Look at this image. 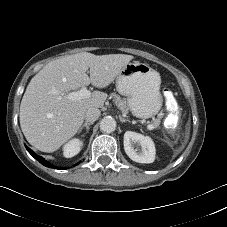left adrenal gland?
Here are the masks:
<instances>
[{"mask_svg": "<svg viewBox=\"0 0 227 227\" xmlns=\"http://www.w3.org/2000/svg\"><path fill=\"white\" fill-rule=\"evenodd\" d=\"M119 119H120V121H121L122 123H123V122H129V123H130L129 120L122 118V116H119Z\"/></svg>", "mask_w": 227, "mask_h": 227, "instance_id": "obj_1", "label": "left adrenal gland"}]
</instances>
